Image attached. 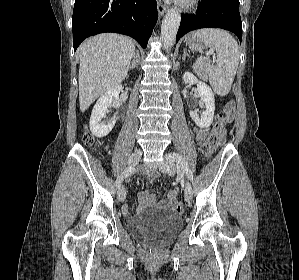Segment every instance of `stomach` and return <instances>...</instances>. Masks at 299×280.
<instances>
[{
  "label": "stomach",
  "instance_id": "1",
  "mask_svg": "<svg viewBox=\"0 0 299 280\" xmlns=\"http://www.w3.org/2000/svg\"><path fill=\"white\" fill-rule=\"evenodd\" d=\"M186 45L192 50V51H201L203 50L206 45L205 43L199 39L198 37L191 35L186 39Z\"/></svg>",
  "mask_w": 299,
  "mask_h": 280
}]
</instances>
